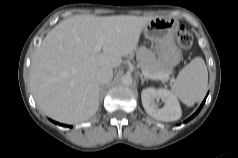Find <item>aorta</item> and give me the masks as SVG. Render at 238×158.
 Segmentation results:
<instances>
[{
	"label": "aorta",
	"mask_w": 238,
	"mask_h": 158,
	"mask_svg": "<svg viewBox=\"0 0 238 158\" xmlns=\"http://www.w3.org/2000/svg\"><path fill=\"white\" fill-rule=\"evenodd\" d=\"M132 82H133L132 76L129 75V74H125V75H123V76L121 77V83H122L123 85L129 86V85L132 84Z\"/></svg>",
	"instance_id": "aorta-1"
}]
</instances>
